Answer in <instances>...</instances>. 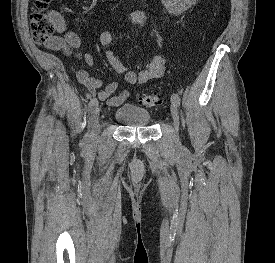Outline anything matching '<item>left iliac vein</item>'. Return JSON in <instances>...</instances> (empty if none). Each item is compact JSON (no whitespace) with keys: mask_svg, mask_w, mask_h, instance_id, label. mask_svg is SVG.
<instances>
[{"mask_svg":"<svg viewBox=\"0 0 275 263\" xmlns=\"http://www.w3.org/2000/svg\"><path fill=\"white\" fill-rule=\"evenodd\" d=\"M170 109H171V115L174 121V128L175 130H177L179 126V113H178L177 106L172 103Z\"/></svg>","mask_w":275,"mask_h":263,"instance_id":"left-iliac-vein-1","label":"left iliac vein"}]
</instances>
